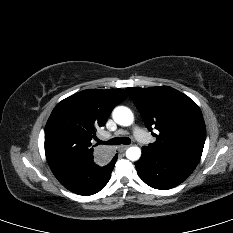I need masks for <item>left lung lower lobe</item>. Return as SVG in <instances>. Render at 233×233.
Returning a JSON list of instances; mask_svg holds the SVG:
<instances>
[{"label":"left lung lower lobe","mask_w":233,"mask_h":233,"mask_svg":"<svg viewBox=\"0 0 233 233\" xmlns=\"http://www.w3.org/2000/svg\"><path fill=\"white\" fill-rule=\"evenodd\" d=\"M200 156L181 152H156L142 148V156L135 162L139 177L150 187L171 189L181 184L196 168Z\"/></svg>","instance_id":"0a47b994"}]
</instances>
